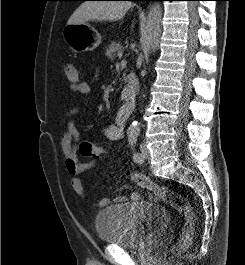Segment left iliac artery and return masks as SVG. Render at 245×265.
Returning a JSON list of instances; mask_svg holds the SVG:
<instances>
[{
	"instance_id": "obj_1",
	"label": "left iliac artery",
	"mask_w": 245,
	"mask_h": 265,
	"mask_svg": "<svg viewBox=\"0 0 245 265\" xmlns=\"http://www.w3.org/2000/svg\"><path fill=\"white\" fill-rule=\"evenodd\" d=\"M137 138H138V134L137 133H131L128 137V141H129V145L131 147H134L136 142H137ZM133 159L135 162H141L142 161V157H141V154L138 153V152H135L133 154Z\"/></svg>"
}]
</instances>
